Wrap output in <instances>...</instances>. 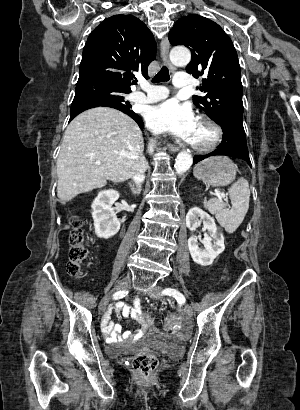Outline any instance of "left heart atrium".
<instances>
[{
	"instance_id": "1",
	"label": "left heart atrium",
	"mask_w": 300,
	"mask_h": 410,
	"mask_svg": "<svg viewBox=\"0 0 300 410\" xmlns=\"http://www.w3.org/2000/svg\"><path fill=\"white\" fill-rule=\"evenodd\" d=\"M147 124L155 132L169 133L191 143L198 119L189 105L171 99L149 110Z\"/></svg>"
}]
</instances>
